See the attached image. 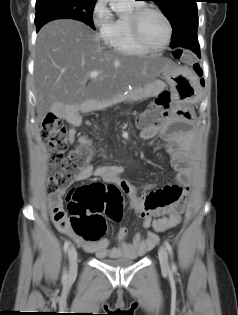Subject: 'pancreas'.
<instances>
[{
  "mask_svg": "<svg viewBox=\"0 0 238 315\" xmlns=\"http://www.w3.org/2000/svg\"><path fill=\"white\" fill-rule=\"evenodd\" d=\"M144 98V91L142 88H135L126 96L116 97L109 101V104H116L121 101H137Z\"/></svg>",
  "mask_w": 238,
  "mask_h": 315,
  "instance_id": "cf45deb5",
  "label": "pancreas"
}]
</instances>
